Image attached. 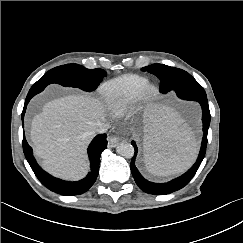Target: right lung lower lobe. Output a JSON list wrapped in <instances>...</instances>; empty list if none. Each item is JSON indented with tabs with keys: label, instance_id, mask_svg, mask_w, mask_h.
<instances>
[{
	"label": "right lung lower lobe",
	"instance_id": "1",
	"mask_svg": "<svg viewBox=\"0 0 243 243\" xmlns=\"http://www.w3.org/2000/svg\"><path fill=\"white\" fill-rule=\"evenodd\" d=\"M45 87L46 86L31 87L25 100V104L22 112V121L24 118L27 104L29 103L30 99L33 96H35L37 93L43 91ZM106 137H107L106 134H100L97 135L92 140V142L88 147V155L91 163V171L84 179L76 182L63 181L45 172L37 164L33 156L32 148L28 145L25 136L23 137V151L36 177L46 188L60 195H66V196L79 195L88 191V189L93 185V183L95 182L98 176L101 153L107 148Z\"/></svg>",
	"mask_w": 243,
	"mask_h": 243
}]
</instances>
